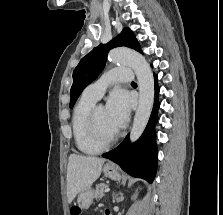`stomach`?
<instances>
[{
  "instance_id": "obj_1",
  "label": "stomach",
  "mask_w": 223,
  "mask_h": 215,
  "mask_svg": "<svg viewBox=\"0 0 223 215\" xmlns=\"http://www.w3.org/2000/svg\"><path fill=\"white\" fill-rule=\"evenodd\" d=\"M102 171L104 175H106V177H110V179H120L121 177L115 163H112V161L105 163ZM92 201L93 198H91L90 195V187H87V189H82L77 197V209H87Z\"/></svg>"
}]
</instances>
